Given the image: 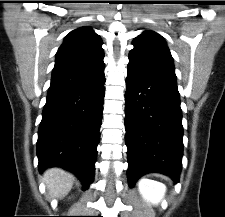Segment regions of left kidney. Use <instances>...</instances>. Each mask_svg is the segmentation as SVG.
Returning a JSON list of instances; mask_svg holds the SVG:
<instances>
[{
	"label": "left kidney",
	"mask_w": 225,
	"mask_h": 217,
	"mask_svg": "<svg viewBox=\"0 0 225 217\" xmlns=\"http://www.w3.org/2000/svg\"><path fill=\"white\" fill-rule=\"evenodd\" d=\"M139 191L145 200L158 204L166 192V186L160 182L143 178L139 182Z\"/></svg>",
	"instance_id": "left-kidney-1"
}]
</instances>
